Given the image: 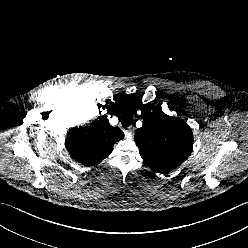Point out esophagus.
Here are the masks:
<instances>
[{"mask_svg": "<svg viewBox=\"0 0 248 248\" xmlns=\"http://www.w3.org/2000/svg\"><path fill=\"white\" fill-rule=\"evenodd\" d=\"M135 127L134 126H130L128 129H126V135L128 137H132L133 133H134Z\"/></svg>", "mask_w": 248, "mask_h": 248, "instance_id": "esophagus-1", "label": "esophagus"}]
</instances>
